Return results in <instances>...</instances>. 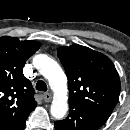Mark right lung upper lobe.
<instances>
[{"instance_id":"obj_1","label":"right lung upper lobe","mask_w":130,"mask_h":130,"mask_svg":"<svg viewBox=\"0 0 130 130\" xmlns=\"http://www.w3.org/2000/svg\"><path fill=\"white\" fill-rule=\"evenodd\" d=\"M40 46L37 41L0 37V130L18 126L37 106L34 89L23 75V65Z\"/></svg>"}]
</instances>
